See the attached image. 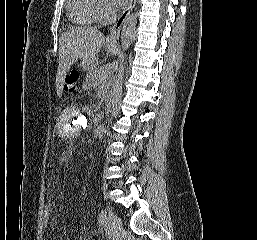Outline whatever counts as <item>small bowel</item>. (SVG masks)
<instances>
[{
    "mask_svg": "<svg viewBox=\"0 0 257 240\" xmlns=\"http://www.w3.org/2000/svg\"><path fill=\"white\" fill-rule=\"evenodd\" d=\"M67 240H72L71 238H67Z\"/></svg>",
    "mask_w": 257,
    "mask_h": 240,
    "instance_id": "small-bowel-1",
    "label": "small bowel"
}]
</instances>
